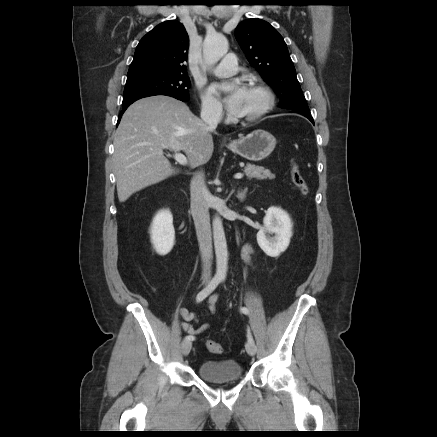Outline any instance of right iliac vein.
Returning a JSON list of instances; mask_svg holds the SVG:
<instances>
[{"label": "right iliac vein", "instance_id": "1", "mask_svg": "<svg viewBox=\"0 0 437 437\" xmlns=\"http://www.w3.org/2000/svg\"><path fill=\"white\" fill-rule=\"evenodd\" d=\"M192 348V342L191 340H185L182 343V353L184 356H187L190 353V350Z\"/></svg>", "mask_w": 437, "mask_h": 437}]
</instances>
